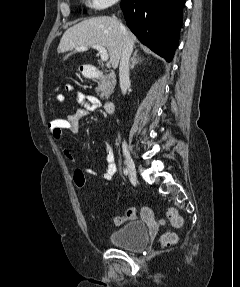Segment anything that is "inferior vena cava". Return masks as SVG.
<instances>
[{"mask_svg":"<svg viewBox=\"0 0 240 287\" xmlns=\"http://www.w3.org/2000/svg\"><path fill=\"white\" fill-rule=\"evenodd\" d=\"M121 30L124 35V45L120 55V64H119V81L120 88L123 94L127 92V89L130 86V78H129V59L133 50V42L129 37V34L126 28L120 24ZM123 147L126 148L127 145L124 142Z\"/></svg>","mask_w":240,"mask_h":287,"instance_id":"inferior-vena-cava-1","label":"inferior vena cava"}]
</instances>
